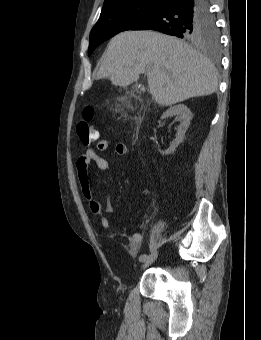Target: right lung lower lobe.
I'll return each instance as SVG.
<instances>
[{"label":"right lung lower lobe","instance_id":"98d812e1","mask_svg":"<svg viewBox=\"0 0 261 340\" xmlns=\"http://www.w3.org/2000/svg\"><path fill=\"white\" fill-rule=\"evenodd\" d=\"M209 13L207 0H162L130 30H155L182 38L189 21Z\"/></svg>","mask_w":261,"mask_h":340}]
</instances>
